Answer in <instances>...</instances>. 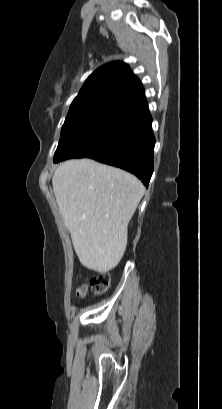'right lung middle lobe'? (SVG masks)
Listing matches in <instances>:
<instances>
[{
    "instance_id": "right-lung-middle-lobe-1",
    "label": "right lung middle lobe",
    "mask_w": 222,
    "mask_h": 409,
    "mask_svg": "<svg viewBox=\"0 0 222 409\" xmlns=\"http://www.w3.org/2000/svg\"><path fill=\"white\" fill-rule=\"evenodd\" d=\"M125 110L120 105L70 109L53 161L57 163L70 158H83L92 153Z\"/></svg>"
}]
</instances>
